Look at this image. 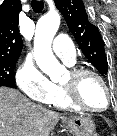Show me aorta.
<instances>
[{"instance_id":"762f6f07","label":"aorta","mask_w":117,"mask_h":136,"mask_svg":"<svg viewBox=\"0 0 117 136\" xmlns=\"http://www.w3.org/2000/svg\"><path fill=\"white\" fill-rule=\"evenodd\" d=\"M60 25V15L51 11L43 15L37 22L34 37V56L39 68L56 79L65 70L52 52V41Z\"/></svg>"}]
</instances>
